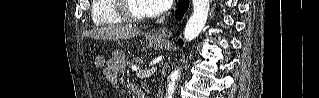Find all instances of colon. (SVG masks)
I'll return each mask as SVG.
<instances>
[{"label":"colon","mask_w":319,"mask_h":98,"mask_svg":"<svg viewBox=\"0 0 319 98\" xmlns=\"http://www.w3.org/2000/svg\"><path fill=\"white\" fill-rule=\"evenodd\" d=\"M92 58L97 67H102L104 65L103 57L99 52H93Z\"/></svg>","instance_id":"colon-1"}]
</instances>
